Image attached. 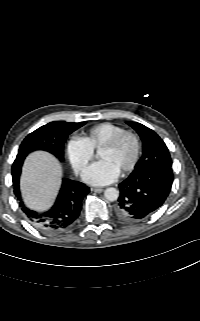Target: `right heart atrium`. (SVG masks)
Wrapping results in <instances>:
<instances>
[{"label":"right heart atrium","instance_id":"1","mask_svg":"<svg viewBox=\"0 0 200 321\" xmlns=\"http://www.w3.org/2000/svg\"><path fill=\"white\" fill-rule=\"evenodd\" d=\"M66 154L74 170L80 173L92 160L94 152L82 137L73 136L66 144Z\"/></svg>","mask_w":200,"mask_h":321}]
</instances>
